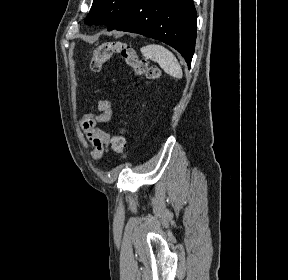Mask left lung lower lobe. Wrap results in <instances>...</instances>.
<instances>
[{"label":"left lung lower lobe","instance_id":"0a47b994","mask_svg":"<svg viewBox=\"0 0 288 280\" xmlns=\"http://www.w3.org/2000/svg\"><path fill=\"white\" fill-rule=\"evenodd\" d=\"M192 0H138L112 30L138 33L175 48L188 67L197 28Z\"/></svg>","mask_w":288,"mask_h":280}]
</instances>
